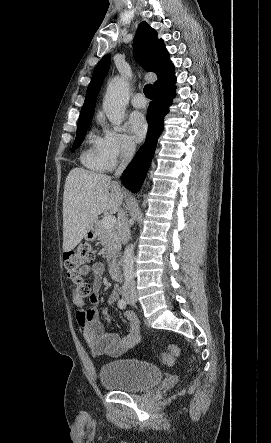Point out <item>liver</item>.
Here are the masks:
<instances>
[{
  "label": "liver",
  "instance_id": "1",
  "mask_svg": "<svg viewBox=\"0 0 271 443\" xmlns=\"http://www.w3.org/2000/svg\"><path fill=\"white\" fill-rule=\"evenodd\" d=\"M124 194L110 176L83 168L69 172L63 194V251L74 249L102 212L125 216L120 210Z\"/></svg>",
  "mask_w": 271,
  "mask_h": 443
}]
</instances>
